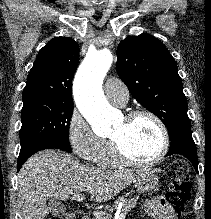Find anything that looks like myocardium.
<instances>
[{
  "mask_svg": "<svg viewBox=\"0 0 211 219\" xmlns=\"http://www.w3.org/2000/svg\"><path fill=\"white\" fill-rule=\"evenodd\" d=\"M140 116H147L151 118L157 124L161 132V138H162L161 148H160L159 153L153 159L143 161V160H137V159L130 157L124 151L119 140L115 138H111V144L113 147L114 154L121 164H124L127 166H134V167H151V166H154L160 163L167 155L169 151V147H170L169 132L163 120L156 113L148 109H135L129 112L125 116V120L127 122H131Z\"/></svg>",
  "mask_w": 211,
  "mask_h": 219,
  "instance_id": "myocardium-1",
  "label": "myocardium"
}]
</instances>
